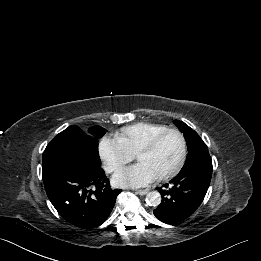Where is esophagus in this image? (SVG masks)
Returning <instances> with one entry per match:
<instances>
[{"label":"esophagus","mask_w":261,"mask_h":261,"mask_svg":"<svg viewBox=\"0 0 261 261\" xmlns=\"http://www.w3.org/2000/svg\"><path fill=\"white\" fill-rule=\"evenodd\" d=\"M148 189H145V190H137L136 193L139 194V195H145L148 193Z\"/></svg>","instance_id":"esophagus-1"}]
</instances>
